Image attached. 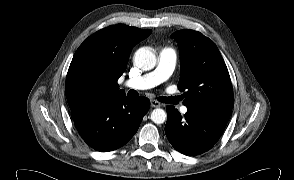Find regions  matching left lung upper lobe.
<instances>
[{
  "mask_svg": "<svg viewBox=\"0 0 294 180\" xmlns=\"http://www.w3.org/2000/svg\"><path fill=\"white\" fill-rule=\"evenodd\" d=\"M180 47L181 77L178 88L184 105L233 108L232 84L215 43L197 31L183 29L171 36Z\"/></svg>",
  "mask_w": 294,
  "mask_h": 180,
  "instance_id": "obj_1",
  "label": "left lung upper lobe"
}]
</instances>
